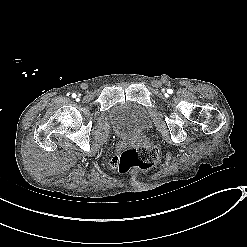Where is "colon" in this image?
I'll list each match as a JSON object with an SVG mask.
<instances>
[{
    "label": "colon",
    "mask_w": 247,
    "mask_h": 247,
    "mask_svg": "<svg viewBox=\"0 0 247 247\" xmlns=\"http://www.w3.org/2000/svg\"><path fill=\"white\" fill-rule=\"evenodd\" d=\"M119 171L126 172L131 169H149L160 160L157 146L149 141H142L133 149L124 151L121 155Z\"/></svg>",
    "instance_id": "5ec220e1"
}]
</instances>
